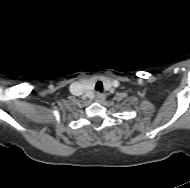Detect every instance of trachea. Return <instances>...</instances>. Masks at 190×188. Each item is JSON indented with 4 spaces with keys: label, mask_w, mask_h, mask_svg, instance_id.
I'll use <instances>...</instances> for the list:
<instances>
[{
    "label": "trachea",
    "mask_w": 190,
    "mask_h": 188,
    "mask_svg": "<svg viewBox=\"0 0 190 188\" xmlns=\"http://www.w3.org/2000/svg\"><path fill=\"white\" fill-rule=\"evenodd\" d=\"M95 90L102 92L103 91V84L101 81H97L96 85H95Z\"/></svg>",
    "instance_id": "trachea-1"
}]
</instances>
